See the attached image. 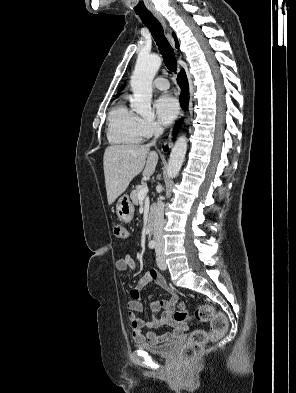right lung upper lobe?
Instances as JSON below:
<instances>
[{"label":"right lung upper lobe","mask_w":296,"mask_h":393,"mask_svg":"<svg viewBox=\"0 0 296 393\" xmlns=\"http://www.w3.org/2000/svg\"><path fill=\"white\" fill-rule=\"evenodd\" d=\"M173 37H174V39H175V44H176V47H178L179 46V44H178V41H177V39H176V36H175V34L173 33Z\"/></svg>","instance_id":"1"}]
</instances>
